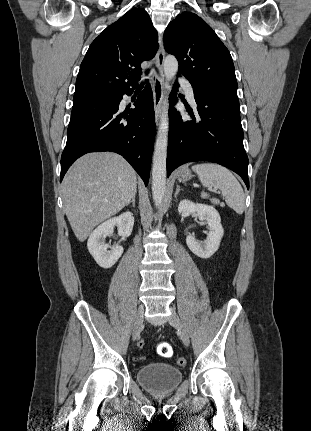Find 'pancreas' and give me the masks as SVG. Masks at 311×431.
<instances>
[{"mask_svg":"<svg viewBox=\"0 0 311 431\" xmlns=\"http://www.w3.org/2000/svg\"><path fill=\"white\" fill-rule=\"evenodd\" d=\"M210 202H212L213 206H219V204H221L220 200H216V198H212Z\"/></svg>","mask_w":311,"mask_h":431,"instance_id":"obj_1","label":"pancreas"}]
</instances>
